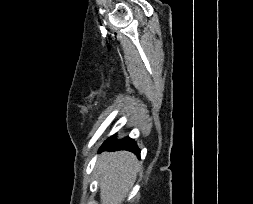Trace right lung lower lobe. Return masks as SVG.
Wrapping results in <instances>:
<instances>
[{
  "instance_id": "obj_1",
  "label": "right lung lower lobe",
  "mask_w": 253,
  "mask_h": 204,
  "mask_svg": "<svg viewBox=\"0 0 253 204\" xmlns=\"http://www.w3.org/2000/svg\"><path fill=\"white\" fill-rule=\"evenodd\" d=\"M105 149L112 150V151L128 150L135 153L138 157H140L139 148L137 147L134 140L129 137H126L117 141L116 135H113L110 138H108L100 148V150H105Z\"/></svg>"
}]
</instances>
